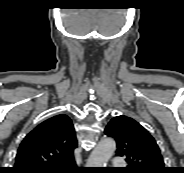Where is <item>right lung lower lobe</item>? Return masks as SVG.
Listing matches in <instances>:
<instances>
[{
    "label": "right lung lower lobe",
    "mask_w": 184,
    "mask_h": 173,
    "mask_svg": "<svg viewBox=\"0 0 184 173\" xmlns=\"http://www.w3.org/2000/svg\"><path fill=\"white\" fill-rule=\"evenodd\" d=\"M75 165V162H73L67 166L62 167L58 171H54L53 173H81L82 170L78 169Z\"/></svg>",
    "instance_id": "right-lung-lower-lobe-1"
}]
</instances>
